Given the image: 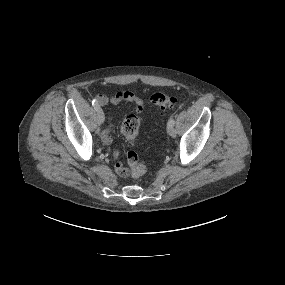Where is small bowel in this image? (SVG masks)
Segmentation results:
<instances>
[{
	"instance_id": "c3829d8e",
	"label": "small bowel",
	"mask_w": 285,
	"mask_h": 285,
	"mask_svg": "<svg viewBox=\"0 0 285 285\" xmlns=\"http://www.w3.org/2000/svg\"><path fill=\"white\" fill-rule=\"evenodd\" d=\"M96 100H97L98 104L101 106H106L109 104L118 106V105L123 104V103H133L135 105V109L137 112H142L144 110V107H145V101L143 98L135 95L131 91H126V90L118 91L117 93H115L112 96L98 95ZM107 118H108V120H111L112 116H108ZM101 138L105 144L112 143V138L109 134V129H106L102 132ZM115 158H117V153H115ZM114 169H115V172L120 177L125 178L129 174L128 169L126 167H124L122 165V163L119 161L115 162Z\"/></svg>"
}]
</instances>
